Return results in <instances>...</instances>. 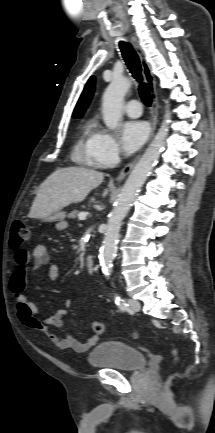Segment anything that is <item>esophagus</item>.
Listing matches in <instances>:
<instances>
[{"label":"esophagus","mask_w":215,"mask_h":433,"mask_svg":"<svg viewBox=\"0 0 215 433\" xmlns=\"http://www.w3.org/2000/svg\"><path fill=\"white\" fill-rule=\"evenodd\" d=\"M131 42L140 58V63L143 71V75L145 78V81L150 89V94L152 98V108H151V134H150V140L154 135L156 124L158 121V97L156 92V82L154 75L152 73L150 64L146 60L144 51L142 50L140 43L138 39L135 36L131 37ZM139 156H137L135 159H133L131 162H129L119 173L117 176V180L121 181L123 180L133 169L135 166Z\"/></svg>","instance_id":"1"}]
</instances>
